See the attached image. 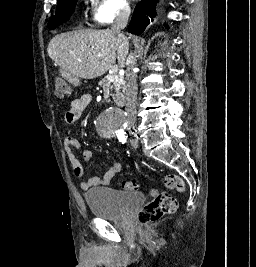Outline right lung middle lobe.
<instances>
[{"label":"right lung middle lobe","instance_id":"dd1d6c3e","mask_svg":"<svg viewBox=\"0 0 256 267\" xmlns=\"http://www.w3.org/2000/svg\"><path fill=\"white\" fill-rule=\"evenodd\" d=\"M76 3L77 0L58 1L55 16L50 19L48 23V28L54 29L62 22H66L69 19L70 15L73 13Z\"/></svg>","mask_w":256,"mask_h":267}]
</instances>
